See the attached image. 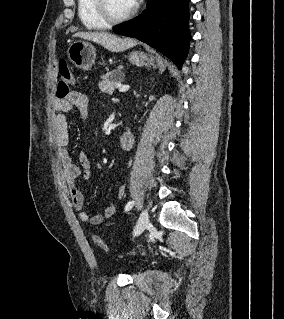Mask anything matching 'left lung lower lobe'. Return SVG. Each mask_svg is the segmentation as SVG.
<instances>
[{"instance_id": "0a47b994", "label": "left lung lower lobe", "mask_w": 284, "mask_h": 319, "mask_svg": "<svg viewBox=\"0 0 284 319\" xmlns=\"http://www.w3.org/2000/svg\"><path fill=\"white\" fill-rule=\"evenodd\" d=\"M190 0H149L146 10L113 30L154 47L181 69L191 40L188 27Z\"/></svg>"}]
</instances>
